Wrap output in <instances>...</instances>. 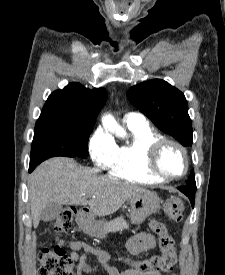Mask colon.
Listing matches in <instances>:
<instances>
[{"instance_id":"obj_1","label":"colon","mask_w":225,"mask_h":275,"mask_svg":"<svg viewBox=\"0 0 225 275\" xmlns=\"http://www.w3.org/2000/svg\"><path fill=\"white\" fill-rule=\"evenodd\" d=\"M164 214L172 221L180 222L183 217L184 203L180 199L168 200L164 204ZM76 214L73 207L65 209L51 222L54 232L68 231ZM153 231L159 237L161 254L142 260L136 268L142 271L167 272L176 261L175 243L165 226L158 222L152 223ZM39 275H73L72 259L58 245L54 248H43L39 253Z\"/></svg>"}]
</instances>
